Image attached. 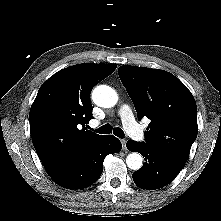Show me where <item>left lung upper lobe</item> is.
Returning <instances> with one entry per match:
<instances>
[{"mask_svg": "<svg viewBox=\"0 0 221 221\" xmlns=\"http://www.w3.org/2000/svg\"><path fill=\"white\" fill-rule=\"evenodd\" d=\"M118 73L138 118L151 120L145 143L184 166L198 133L197 106L191 92L164 70L125 65Z\"/></svg>", "mask_w": 221, "mask_h": 221, "instance_id": "left-lung-upper-lobe-1", "label": "left lung upper lobe"}]
</instances>
